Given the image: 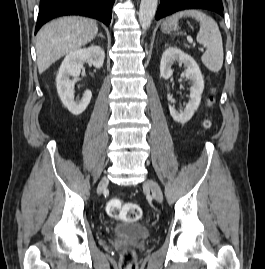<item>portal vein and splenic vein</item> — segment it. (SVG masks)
I'll list each match as a JSON object with an SVG mask.
<instances>
[{"instance_id":"obj_1","label":"portal vein and splenic vein","mask_w":265,"mask_h":269,"mask_svg":"<svg viewBox=\"0 0 265 269\" xmlns=\"http://www.w3.org/2000/svg\"><path fill=\"white\" fill-rule=\"evenodd\" d=\"M189 42H190L193 46L195 45V44L193 43L192 39H189ZM200 50L203 51L204 49L201 48Z\"/></svg>"}]
</instances>
